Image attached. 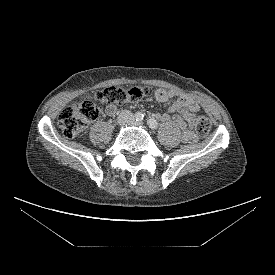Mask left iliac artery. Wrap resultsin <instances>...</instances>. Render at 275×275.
Returning a JSON list of instances; mask_svg holds the SVG:
<instances>
[{
	"label": "left iliac artery",
	"instance_id": "obj_1",
	"mask_svg": "<svg viewBox=\"0 0 275 275\" xmlns=\"http://www.w3.org/2000/svg\"><path fill=\"white\" fill-rule=\"evenodd\" d=\"M147 123H148L149 127L152 128V129H157L158 128V122L154 118H149L147 120Z\"/></svg>",
	"mask_w": 275,
	"mask_h": 275
}]
</instances>
